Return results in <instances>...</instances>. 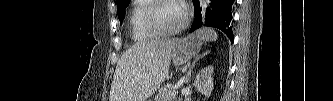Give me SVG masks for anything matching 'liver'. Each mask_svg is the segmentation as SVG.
<instances>
[{
	"instance_id": "6515ba94",
	"label": "liver",
	"mask_w": 333,
	"mask_h": 101,
	"mask_svg": "<svg viewBox=\"0 0 333 101\" xmlns=\"http://www.w3.org/2000/svg\"><path fill=\"white\" fill-rule=\"evenodd\" d=\"M174 40L141 41L117 63L109 101H147L169 72Z\"/></svg>"
}]
</instances>
